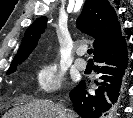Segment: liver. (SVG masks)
<instances>
[{
	"label": "liver",
	"instance_id": "1",
	"mask_svg": "<svg viewBox=\"0 0 133 118\" xmlns=\"http://www.w3.org/2000/svg\"><path fill=\"white\" fill-rule=\"evenodd\" d=\"M65 110V118H76V115ZM58 107L48 101H35L16 107L6 113L3 118H59Z\"/></svg>",
	"mask_w": 133,
	"mask_h": 118
}]
</instances>
